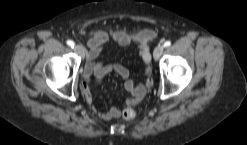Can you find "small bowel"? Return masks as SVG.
<instances>
[{
    "instance_id": "small-bowel-1",
    "label": "small bowel",
    "mask_w": 247,
    "mask_h": 145,
    "mask_svg": "<svg viewBox=\"0 0 247 145\" xmlns=\"http://www.w3.org/2000/svg\"><path fill=\"white\" fill-rule=\"evenodd\" d=\"M154 32L151 30H138L132 34L125 29L118 30H95L88 39L87 64L84 68L83 80L81 84L82 93L89 105L103 119L119 118L121 111L118 108L111 107L107 112H99L92 104L93 96L89 83L94 76L97 81H100L105 76L115 73L124 80V88L130 94V97L125 101L124 107L129 108L138 104L147 91L153 85L151 55L149 53V43L154 39ZM112 39L118 46H136L139 50V56L143 62L145 79L143 83L136 85L130 77L129 70L120 64H102L97 62V59L103 51L109 39Z\"/></svg>"
}]
</instances>
